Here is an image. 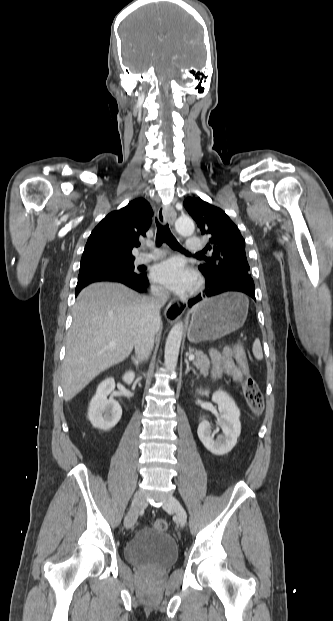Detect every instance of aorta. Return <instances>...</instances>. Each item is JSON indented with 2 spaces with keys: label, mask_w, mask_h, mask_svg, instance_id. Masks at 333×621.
Returning a JSON list of instances; mask_svg holds the SVG:
<instances>
[{
  "label": "aorta",
  "mask_w": 333,
  "mask_h": 621,
  "mask_svg": "<svg viewBox=\"0 0 333 621\" xmlns=\"http://www.w3.org/2000/svg\"><path fill=\"white\" fill-rule=\"evenodd\" d=\"M177 232L182 236H190L194 233V222L187 217H180L175 224ZM183 336V324L177 322L170 330L164 352L165 367L169 371L175 370L178 362L179 349Z\"/></svg>",
  "instance_id": "aorta-1"
}]
</instances>
